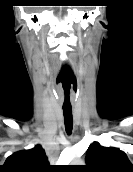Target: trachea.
<instances>
[{
    "mask_svg": "<svg viewBox=\"0 0 133 172\" xmlns=\"http://www.w3.org/2000/svg\"><path fill=\"white\" fill-rule=\"evenodd\" d=\"M63 115L66 131L68 134H70L73 126L72 108H63Z\"/></svg>",
    "mask_w": 133,
    "mask_h": 172,
    "instance_id": "3493384b",
    "label": "trachea"
}]
</instances>
